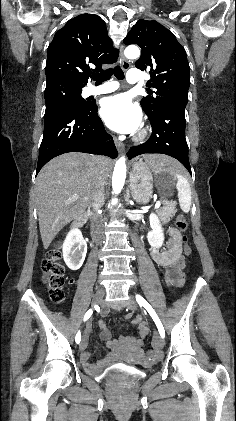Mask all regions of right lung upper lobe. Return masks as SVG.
<instances>
[{
	"mask_svg": "<svg viewBox=\"0 0 236 421\" xmlns=\"http://www.w3.org/2000/svg\"><path fill=\"white\" fill-rule=\"evenodd\" d=\"M117 56L105 22L98 15L81 14L57 31L49 45L46 86L82 88L91 71H102V65L116 62Z\"/></svg>",
	"mask_w": 236,
	"mask_h": 421,
	"instance_id": "cb5924a9",
	"label": "right lung upper lobe"
}]
</instances>
